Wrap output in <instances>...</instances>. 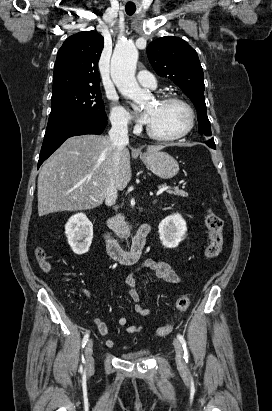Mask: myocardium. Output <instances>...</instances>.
<instances>
[{
	"instance_id": "myocardium-1",
	"label": "myocardium",
	"mask_w": 272,
	"mask_h": 411,
	"mask_svg": "<svg viewBox=\"0 0 272 411\" xmlns=\"http://www.w3.org/2000/svg\"><path fill=\"white\" fill-rule=\"evenodd\" d=\"M157 101L160 103L174 102V103L181 104L188 112L189 122H188L187 127L182 132L176 135H172V136H164V135L157 134L150 128L149 125H147L146 126L147 135L154 140L162 141V142H173V141H177V140H180L186 137L193 130L195 126V112H194L193 107L190 105V103L187 102L185 99L175 96V95H162L158 97Z\"/></svg>"
}]
</instances>
